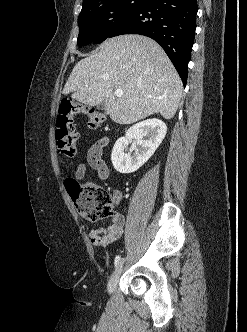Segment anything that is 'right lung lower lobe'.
Listing matches in <instances>:
<instances>
[{"mask_svg": "<svg viewBox=\"0 0 247 332\" xmlns=\"http://www.w3.org/2000/svg\"><path fill=\"white\" fill-rule=\"evenodd\" d=\"M197 11V0H147L123 18L108 37L141 34L154 39L172 61L185 86Z\"/></svg>", "mask_w": 247, "mask_h": 332, "instance_id": "right-lung-lower-lobe-1", "label": "right lung lower lobe"}]
</instances>
